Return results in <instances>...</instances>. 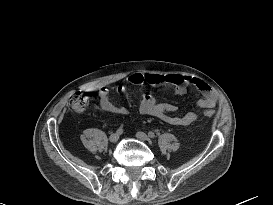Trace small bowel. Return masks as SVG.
<instances>
[{
    "label": "small bowel",
    "mask_w": 273,
    "mask_h": 205,
    "mask_svg": "<svg viewBox=\"0 0 273 205\" xmlns=\"http://www.w3.org/2000/svg\"><path fill=\"white\" fill-rule=\"evenodd\" d=\"M164 83L173 85L175 87V94L179 96H183L187 93L188 85H193L201 94V98L196 103V106L199 108L211 109L215 107L217 103V97L212 88L207 83L197 78L180 75H161L155 73H133L129 75L125 81V84L134 86H140L143 84L156 86ZM117 90L123 92L125 90V85H119ZM99 106L102 110L112 114H128L127 108L117 106L112 102L109 91L106 88H101L99 90ZM139 110L144 115L160 118L176 126L189 125L197 118L196 113L193 111H189L183 116H171L169 113L175 112L177 110L176 106L170 102H157L149 93L143 94Z\"/></svg>",
    "instance_id": "c3829d8e"
}]
</instances>
